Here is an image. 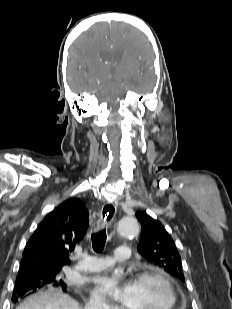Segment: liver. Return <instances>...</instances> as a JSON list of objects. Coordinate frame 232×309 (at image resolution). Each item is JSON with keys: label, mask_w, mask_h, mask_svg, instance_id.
Wrapping results in <instances>:
<instances>
[{"label": "liver", "mask_w": 232, "mask_h": 309, "mask_svg": "<svg viewBox=\"0 0 232 309\" xmlns=\"http://www.w3.org/2000/svg\"><path fill=\"white\" fill-rule=\"evenodd\" d=\"M16 309H81L67 294L57 289H48L29 296Z\"/></svg>", "instance_id": "liver-1"}]
</instances>
